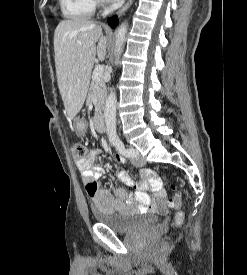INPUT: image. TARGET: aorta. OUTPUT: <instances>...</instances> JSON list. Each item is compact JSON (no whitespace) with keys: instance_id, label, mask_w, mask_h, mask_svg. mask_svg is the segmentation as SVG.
I'll return each mask as SVG.
<instances>
[{"instance_id":"aorta-1","label":"aorta","mask_w":247,"mask_h":275,"mask_svg":"<svg viewBox=\"0 0 247 275\" xmlns=\"http://www.w3.org/2000/svg\"><path fill=\"white\" fill-rule=\"evenodd\" d=\"M127 29H128L127 24L123 23L117 30L116 40H115V49H114L115 65L119 64V59L125 43ZM116 103H117V97H116V92L113 88L107 97L105 111H104L106 132L109 140L111 141L118 139L117 132H116Z\"/></svg>"}]
</instances>
